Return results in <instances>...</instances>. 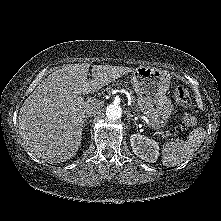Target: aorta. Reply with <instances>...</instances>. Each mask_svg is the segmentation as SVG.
<instances>
[{
	"mask_svg": "<svg viewBox=\"0 0 221 221\" xmlns=\"http://www.w3.org/2000/svg\"><path fill=\"white\" fill-rule=\"evenodd\" d=\"M106 116L110 120L120 119L122 116V108L117 104H110L106 108Z\"/></svg>",
	"mask_w": 221,
	"mask_h": 221,
	"instance_id": "obj_1",
	"label": "aorta"
}]
</instances>
